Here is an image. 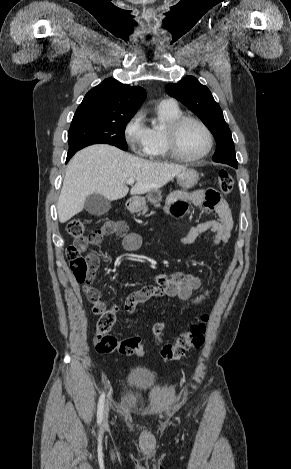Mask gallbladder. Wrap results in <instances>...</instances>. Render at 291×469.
I'll return each mask as SVG.
<instances>
[{
  "label": "gallbladder",
  "instance_id": "1",
  "mask_svg": "<svg viewBox=\"0 0 291 469\" xmlns=\"http://www.w3.org/2000/svg\"><path fill=\"white\" fill-rule=\"evenodd\" d=\"M110 208V200L97 193L89 195L84 203V209L95 216L104 215Z\"/></svg>",
  "mask_w": 291,
  "mask_h": 469
}]
</instances>
